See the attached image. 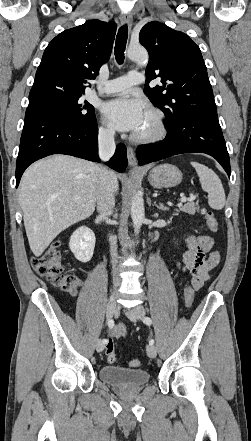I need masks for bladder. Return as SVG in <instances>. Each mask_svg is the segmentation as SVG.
I'll return each mask as SVG.
<instances>
[{"label":"bladder","instance_id":"31cf9c89","mask_svg":"<svg viewBox=\"0 0 251 441\" xmlns=\"http://www.w3.org/2000/svg\"><path fill=\"white\" fill-rule=\"evenodd\" d=\"M100 379L117 388L132 389L148 383L150 374L144 369L106 365L99 370Z\"/></svg>","mask_w":251,"mask_h":441}]
</instances>
